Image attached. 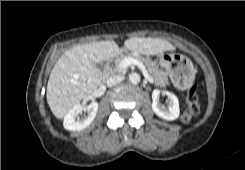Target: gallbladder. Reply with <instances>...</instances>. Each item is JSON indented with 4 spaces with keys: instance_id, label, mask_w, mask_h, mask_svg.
I'll return each instance as SVG.
<instances>
[{
    "instance_id": "bac80fb5",
    "label": "gallbladder",
    "mask_w": 245,
    "mask_h": 170,
    "mask_svg": "<svg viewBox=\"0 0 245 170\" xmlns=\"http://www.w3.org/2000/svg\"><path fill=\"white\" fill-rule=\"evenodd\" d=\"M95 66H96L97 68H99L100 70H102L103 67H104L103 63H97Z\"/></svg>"
}]
</instances>
